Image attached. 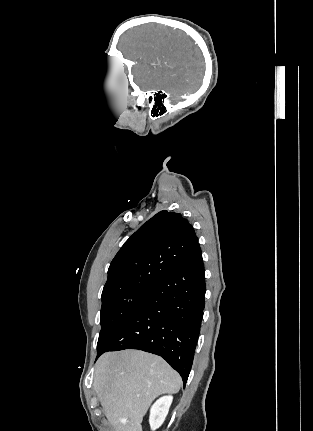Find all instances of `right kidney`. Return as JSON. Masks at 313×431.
Returning <instances> with one entry per match:
<instances>
[{"label": "right kidney", "instance_id": "right-kidney-1", "mask_svg": "<svg viewBox=\"0 0 313 431\" xmlns=\"http://www.w3.org/2000/svg\"><path fill=\"white\" fill-rule=\"evenodd\" d=\"M172 396L159 398L150 409L149 424L152 431L158 429L164 422L172 404Z\"/></svg>", "mask_w": 313, "mask_h": 431}]
</instances>
